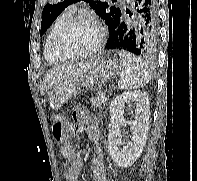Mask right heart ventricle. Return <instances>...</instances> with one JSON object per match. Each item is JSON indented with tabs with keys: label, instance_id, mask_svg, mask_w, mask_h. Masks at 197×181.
I'll return each instance as SVG.
<instances>
[{
	"label": "right heart ventricle",
	"instance_id": "right-heart-ventricle-1",
	"mask_svg": "<svg viewBox=\"0 0 197 181\" xmlns=\"http://www.w3.org/2000/svg\"><path fill=\"white\" fill-rule=\"evenodd\" d=\"M73 16V11L71 9L63 11L57 16V18L52 23L48 35L46 37L44 57L46 61L50 64H57L62 62L55 51V40L62 28V26Z\"/></svg>",
	"mask_w": 197,
	"mask_h": 181
}]
</instances>
